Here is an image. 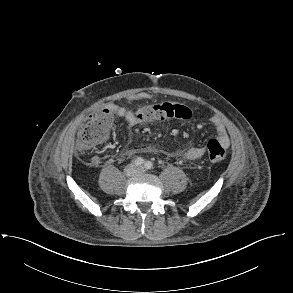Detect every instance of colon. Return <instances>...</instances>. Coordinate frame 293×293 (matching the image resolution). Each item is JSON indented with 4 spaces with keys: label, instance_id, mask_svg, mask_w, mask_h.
I'll return each instance as SVG.
<instances>
[{
    "label": "colon",
    "instance_id": "1",
    "mask_svg": "<svg viewBox=\"0 0 293 293\" xmlns=\"http://www.w3.org/2000/svg\"><path fill=\"white\" fill-rule=\"evenodd\" d=\"M191 115L192 111L189 107L177 102H162L143 106L137 111V117L148 122L166 118L189 119ZM113 121V113L108 109L91 113L78 133L77 153L84 156L97 144L103 142L110 132ZM206 147L207 157L211 162H219L226 157V150L216 139L208 141Z\"/></svg>",
    "mask_w": 293,
    "mask_h": 293
}]
</instances>
